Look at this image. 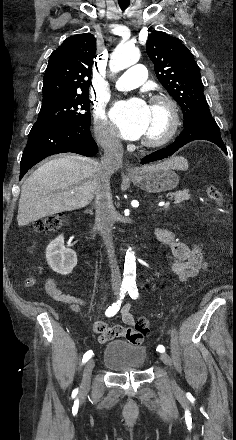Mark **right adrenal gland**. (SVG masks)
Here are the masks:
<instances>
[{
    "label": "right adrenal gland",
    "instance_id": "1",
    "mask_svg": "<svg viewBox=\"0 0 236 440\" xmlns=\"http://www.w3.org/2000/svg\"><path fill=\"white\" fill-rule=\"evenodd\" d=\"M86 212L92 214V211H91V210H87Z\"/></svg>",
    "mask_w": 236,
    "mask_h": 440
}]
</instances>
